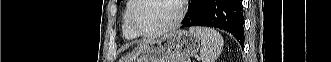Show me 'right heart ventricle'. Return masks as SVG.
<instances>
[{
  "label": "right heart ventricle",
  "mask_w": 331,
  "mask_h": 62,
  "mask_svg": "<svg viewBox=\"0 0 331 62\" xmlns=\"http://www.w3.org/2000/svg\"><path fill=\"white\" fill-rule=\"evenodd\" d=\"M133 3H134V1H132V0L127 2L123 16H122V33H123V36L128 40H133L138 37V35L135 34L134 31L131 29L130 23H129V13L133 6Z\"/></svg>",
  "instance_id": "1"
}]
</instances>
